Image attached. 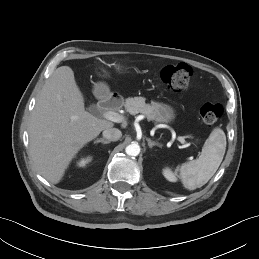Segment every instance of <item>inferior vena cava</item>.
Returning <instances> with one entry per match:
<instances>
[{"label":"inferior vena cava","mask_w":259,"mask_h":259,"mask_svg":"<svg viewBox=\"0 0 259 259\" xmlns=\"http://www.w3.org/2000/svg\"><path fill=\"white\" fill-rule=\"evenodd\" d=\"M122 133L117 128H108L103 131V137L108 141H117L121 138Z\"/></svg>","instance_id":"1"}]
</instances>
